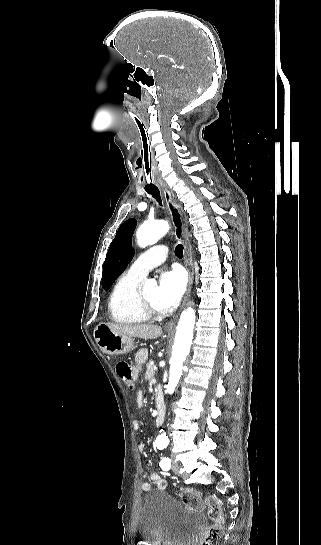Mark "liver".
<instances>
[{
  "label": "liver",
  "mask_w": 321,
  "mask_h": 545,
  "mask_svg": "<svg viewBox=\"0 0 321 545\" xmlns=\"http://www.w3.org/2000/svg\"><path fill=\"white\" fill-rule=\"evenodd\" d=\"M110 329H114L120 335L126 337H138V339H158L162 335V327L158 325H141V323H107Z\"/></svg>",
  "instance_id": "6515ba94"
}]
</instances>
